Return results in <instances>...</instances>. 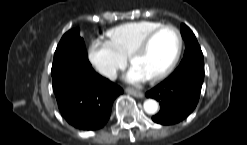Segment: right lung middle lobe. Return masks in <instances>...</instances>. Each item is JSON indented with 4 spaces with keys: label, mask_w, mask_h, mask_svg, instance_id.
Returning <instances> with one entry per match:
<instances>
[{
    "label": "right lung middle lobe",
    "mask_w": 247,
    "mask_h": 145,
    "mask_svg": "<svg viewBox=\"0 0 247 145\" xmlns=\"http://www.w3.org/2000/svg\"><path fill=\"white\" fill-rule=\"evenodd\" d=\"M75 57L87 58L84 41L79 36V29L69 30L63 35L54 54L52 69Z\"/></svg>",
    "instance_id": "obj_1"
}]
</instances>
